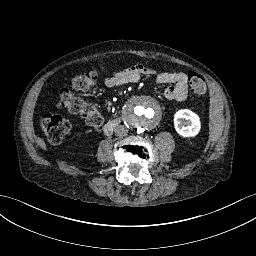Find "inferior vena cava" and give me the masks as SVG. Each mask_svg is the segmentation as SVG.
<instances>
[{
    "mask_svg": "<svg viewBox=\"0 0 256 256\" xmlns=\"http://www.w3.org/2000/svg\"><path fill=\"white\" fill-rule=\"evenodd\" d=\"M129 132V129L123 125H118L115 128V135L122 137V136H126Z\"/></svg>",
    "mask_w": 256,
    "mask_h": 256,
    "instance_id": "1",
    "label": "inferior vena cava"
}]
</instances>
